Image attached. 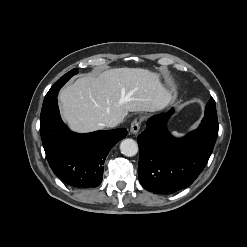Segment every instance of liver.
Wrapping results in <instances>:
<instances>
[{"label":"liver","instance_id":"obj_1","mask_svg":"<svg viewBox=\"0 0 247 247\" xmlns=\"http://www.w3.org/2000/svg\"><path fill=\"white\" fill-rule=\"evenodd\" d=\"M61 113L70 129L88 133L122 122L129 112H158L173 97L158 73L142 68H114L87 75L59 93Z\"/></svg>","mask_w":247,"mask_h":247}]
</instances>
